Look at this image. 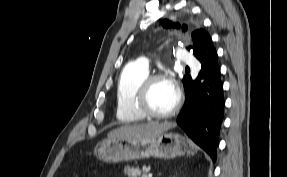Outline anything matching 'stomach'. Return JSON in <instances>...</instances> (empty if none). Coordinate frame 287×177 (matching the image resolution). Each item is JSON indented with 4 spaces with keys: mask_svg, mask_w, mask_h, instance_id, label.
Returning a JSON list of instances; mask_svg holds the SVG:
<instances>
[{
    "mask_svg": "<svg viewBox=\"0 0 287 177\" xmlns=\"http://www.w3.org/2000/svg\"><path fill=\"white\" fill-rule=\"evenodd\" d=\"M94 152L98 159L109 163L194 154L182 135L168 131L140 139L107 138L96 145Z\"/></svg>",
    "mask_w": 287,
    "mask_h": 177,
    "instance_id": "obj_1",
    "label": "stomach"
}]
</instances>
